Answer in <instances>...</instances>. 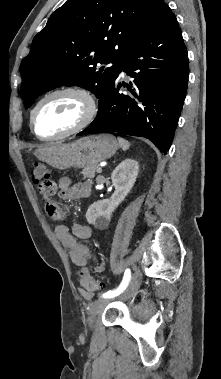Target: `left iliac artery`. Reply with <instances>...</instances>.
I'll return each instance as SVG.
<instances>
[{"label": "left iliac artery", "mask_w": 221, "mask_h": 379, "mask_svg": "<svg viewBox=\"0 0 221 379\" xmlns=\"http://www.w3.org/2000/svg\"><path fill=\"white\" fill-rule=\"evenodd\" d=\"M130 278H131V271L129 268H127L125 270L123 280L120 283V285L116 289H114L112 291L111 290L107 291L104 294H102V298H113V297H116L119 294H121L126 289V287L128 286Z\"/></svg>", "instance_id": "1"}]
</instances>
